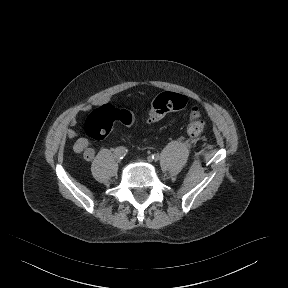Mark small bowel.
<instances>
[{"instance_id": "small-bowel-1", "label": "small bowel", "mask_w": 288, "mask_h": 288, "mask_svg": "<svg viewBox=\"0 0 288 288\" xmlns=\"http://www.w3.org/2000/svg\"><path fill=\"white\" fill-rule=\"evenodd\" d=\"M78 141H79V139L76 141L75 145L77 144ZM75 152L76 153H83V156H84L86 161H92L94 156H95V151L92 148V146L89 144L88 141L85 144V149L84 150H75Z\"/></svg>"}]
</instances>
